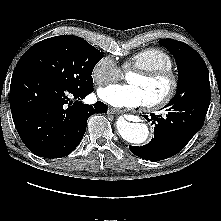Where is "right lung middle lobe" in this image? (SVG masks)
I'll list each match as a JSON object with an SVG mask.
<instances>
[{
	"mask_svg": "<svg viewBox=\"0 0 221 221\" xmlns=\"http://www.w3.org/2000/svg\"><path fill=\"white\" fill-rule=\"evenodd\" d=\"M103 54L80 37L61 35L33 45L15 69L36 72L72 89H89L93 88V68Z\"/></svg>",
	"mask_w": 221,
	"mask_h": 221,
	"instance_id": "dd1d6c3e",
	"label": "right lung middle lobe"
}]
</instances>
